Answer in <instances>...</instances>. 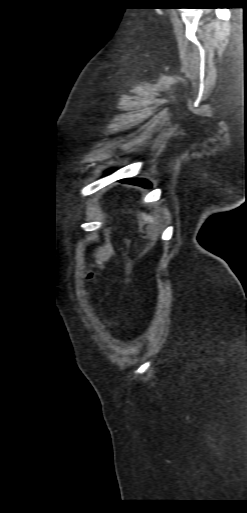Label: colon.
Segmentation results:
<instances>
[{"mask_svg": "<svg viewBox=\"0 0 247 513\" xmlns=\"http://www.w3.org/2000/svg\"><path fill=\"white\" fill-rule=\"evenodd\" d=\"M109 256V251L106 248H98L94 252L95 268L100 266ZM95 276V269L88 272V278L92 280Z\"/></svg>", "mask_w": 247, "mask_h": 513, "instance_id": "colon-1", "label": "colon"}]
</instances>
